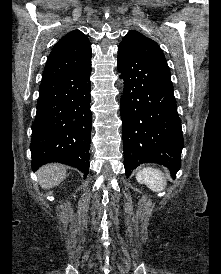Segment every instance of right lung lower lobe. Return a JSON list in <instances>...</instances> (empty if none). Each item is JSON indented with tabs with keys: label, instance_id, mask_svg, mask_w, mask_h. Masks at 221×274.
Listing matches in <instances>:
<instances>
[{
	"label": "right lung lower lobe",
	"instance_id": "98d812e1",
	"mask_svg": "<svg viewBox=\"0 0 221 274\" xmlns=\"http://www.w3.org/2000/svg\"><path fill=\"white\" fill-rule=\"evenodd\" d=\"M90 74L91 63L41 83L30 144L33 171L59 162L87 176L92 126Z\"/></svg>",
	"mask_w": 221,
	"mask_h": 274
}]
</instances>
